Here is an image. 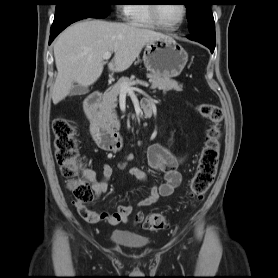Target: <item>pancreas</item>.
Instances as JSON below:
<instances>
[{
    "instance_id": "pancreas-1",
    "label": "pancreas",
    "mask_w": 278,
    "mask_h": 278,
    "mask_svg": "<svg viewBox=\"0 0 278 278\" xmlns=\"http://www.w3.org/2000/svg\"><path fill=\"white\" fill-rule=\"evenodd\" d=\"M150 82L152 83L151 89L153 90H163L170 91H181L182 85L178 84L177 81L170 79L169 77H163L153 74H148ZM133 79H129L128 77H122L118 80V82L107 89L102 98V103L100 105V114L104 118L105 121L114 124L117 121V114L115 108L117 107V97L120 94V86L121 84L133 83Z\"/></svg>"
}]
</instances>
